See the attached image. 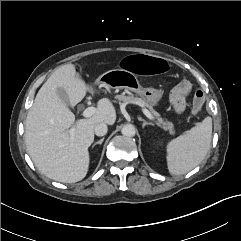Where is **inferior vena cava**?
Here are the masks:
<instances>
[{
    "label": "inferior vena cava",
    "mask_w": 241,
    "mask_h": 241,
    "mask_svg": "<svg viewBox=\"0 0 241 241\" xmlns=\"http://www.w3.org/2000/svg\"><path fill=\"white\" fill-rule=\"evenodd\" d=\"M107 130H108L107 125H106V123H103V122L102 123H98L95 126V129H94L95 134L97 136H104L107 133Z\"/></svg>",
    "instance_id": "obj_1"
}]
</instances>
